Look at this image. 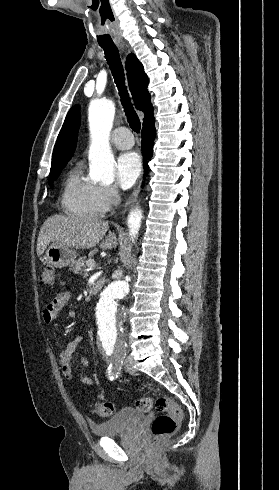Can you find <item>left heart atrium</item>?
<instances>
[{
    "mask_svg": "<svg viewBox=\"0 0 279 490\" xmlns=\"http://www.w3.org/2000/svg\"><path fill=\"white\" fill-rule=\"evenodd\" d=\"M141 171L142 162L137 153H124L118 158L117 180L122 188L132 187L139 178Z\"/></svg>",
    "mask_w": 279,
    "mask_h": 490,
    "instance_id": "left-heart-atrium-1",
    "label": "left heart atrium"
}]
</instances>
